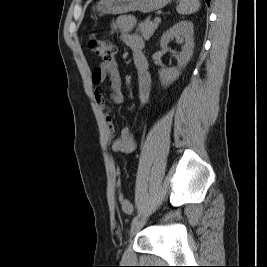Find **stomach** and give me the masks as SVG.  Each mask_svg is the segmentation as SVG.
I'll return each mask as SVG.
<instances>
[{
    "mask_svg": "<svg viewBox=\"0 0 267 267\" xmlns=\"http://www.w3.org/2000/svg\"><path fill=\"white\" fill-rule=\"evenodd\" d=\"M171 0H100L94 10L101 14H124L131 11L150 13L162 9Z\"/></svg>",
    "mask_w": 267,
    "mask_h": 267,
    "instance_id": "1",
    "label": "stomach"
}]
</instances>
